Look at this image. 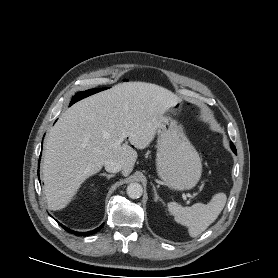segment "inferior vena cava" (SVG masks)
I'll return each mask as SVG.
<instances>
[{"mask_svg":"<svg viewBox=\"0 0 278 278\" xmlns=\"http://www.w3.org/2000/svg\"><path fill=\"white\" fill-rule=\"evenodd\" d=\"M105 170L111 173H117L122 170V165L114 160L107 161L105 163Z\"/></svg>","mask_w":278,"mask_h":278,"instance_id":"602c4592","label":"inferior vena cava"}]
</instances>
